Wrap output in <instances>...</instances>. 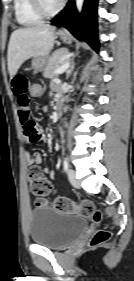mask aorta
I'll return each mask as SVG.
<instances>
[{
  "label": "aorta",
  "instance_id": "obj_1",
  "mask_svg": "<svg viewBox=\"0 0 134 281\" xmlns=\"http://www.w3.org/2000/svg\"><path fill=\"white\" fill-rule=\"evenodd\" d=\"M83 4H84V0H76V8H77L78 12L82 11Z\"/></svg>",
  "mask_w": 134,
  "mask_h": 281
}]
</instances>
